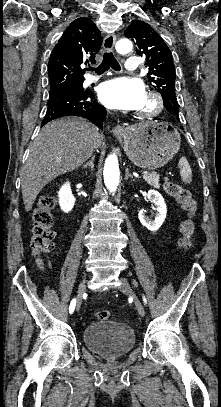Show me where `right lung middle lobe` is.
<instances>
[{
    "mask_svg": "<svg viewBox=\"0 0 221 407\" xmlns=\"http://www.w3.org/2000/svg\"><path fill=\"white\" fill-rule=\"evenodd\" d=\"M65 88H83V82H79V83H75V84H71V85H66V86H64V85L51 86L50 93L61 90V89H65Z\"/></svg>",
    "mask_w": 221,
    "mask_h": 407,
    "instance_id": "dd1d6c3e",
    "label": "right lung middle lobe"
}]
</instances>
